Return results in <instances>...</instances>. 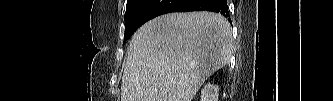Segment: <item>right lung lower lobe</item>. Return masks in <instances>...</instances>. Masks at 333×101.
I'll return each mask as SVG.
<instances>
[{
  "instance_id": "obj_1",
  "label": "right lung lower lobe",
  "mask_w": 333,
  "mask_h": 101,
  "mask_svg": "<svg viewBox=\"0 0 333 101\" xmlns=\"http://www.w3.org/2000/svg\"><path fill=\"white\" fill-rule=\"evenodd\" d=\"M188 11H212L230 17L226 0H145L135 16L133 27L136 31L145 22L159 15Z\"/></svg>"
}]
</instances>
